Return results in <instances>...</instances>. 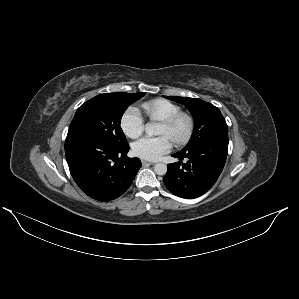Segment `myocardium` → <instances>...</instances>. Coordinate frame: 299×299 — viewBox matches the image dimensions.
<instances>
[{
    "label": "myocardium",
    "mask_w": 299,
    "mask_h": 299,
    "mask_svg": "<svg viewBox=\"0 0 299 299\" xmlns=\"http://www.w3.org/2000/svg\"><path fill=\"white\" fill-rule=\"evenodd\" d=\"M182 122L185 127L183 131L178 132L177 128ZM162 124L170 130L171 139L176 144H183L187 142L191 138L195 126L193 117L185 112H179L176 115L163 120Z\"/></svg>",
    "instance_id": "myocardium-1"
}]
</instances>
